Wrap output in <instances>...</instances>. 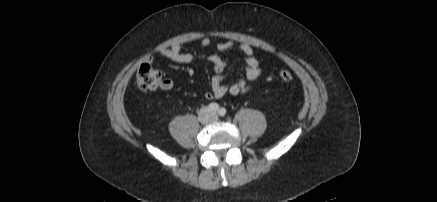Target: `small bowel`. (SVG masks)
I'll return each instance as SVG.
<instances>
[{
    "instance_id": "c3829d8e",
    "label": "small bowel",
    "mask_w": 437,
    "mask_h": 202,
    "mask_svg": "<svg viewBox=\"0 0 437 202\" xmlns=\"http://www.w3.org/2000/svg\"><path fill=\"white\" fill-rule=\"evenodd\" d=\"M210 39L203 38L200 46L205 48L209 46ZM237 48L245 55L244 76L232 84H224L226 79L225 70L227 67V60L218 54H210L207 60L212 64L215 74L211 79V90L205 93V98L208 100L214 98H222L226 95H240L250 90V82L257 79L261 74V65L259 60L254 56V49L248 43H237L235 41H224L218 44L217 49L224 54L231 49ZM158 53L169 60L187 64L196 60V55L192 53H185L182 51V44L177 42L170 47H162ZM151 60V59H150ZM173 82L170 79H164L162 89H170Z\"/></svg>"
}]
</instances>
